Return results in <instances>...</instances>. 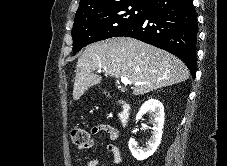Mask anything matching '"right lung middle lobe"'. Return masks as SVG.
Masks as SVG:
<instances>
[{"instance_id": "obj_1", "label": "right lung middle lobe", "mask_w": 227, "mask_h": 166, "mask_svg": "<svg viewBox=\"0 0 227 166\" xmlns=\"http://www.w3.org/2000/svg\"><path fill=\"white\" fill-rule=\"evenodd\" d=\"M147 5L128 3L76 14L72 29L73 51L84 46L117 36L139 21Z\"/></svg>"}]
</instances>
